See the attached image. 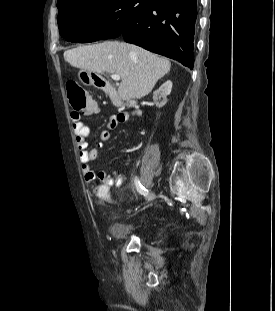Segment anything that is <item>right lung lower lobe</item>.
Instances as JSON below:
<instances>
[{"label": "right lung lower lobe", "mask_w": 275, "mask_h": 311, "mask_svg": "<svg viewBox=\"0 0 275 311\" xmlns=\"http://www.w3.org/2000/svg\"><path fill=\"white\" fill-rule=\"evenodd\" d=\"M196 18L197 0H157L134 17L120 35L128 43L193 69Z\"/></svg>", "instance_id": "right-lung-lower-lobe-1"}]
</instances>
